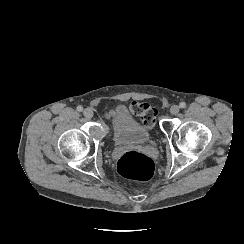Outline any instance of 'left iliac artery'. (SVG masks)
<instances>
[{"mask_svg":"<svg viewBox=\"0 0 244 244\" xmlns=\"http://www.w3.org/2000/svg\"><path fill=\"white\" fill-rule=\"evenodd\" d=\"M179 106H180V108H185V107H186V103H185V102H181V103L179 104Z\"/></svg>","mask_w":244,"mask_h":244,"instance_id":"obj_1","label":"left iliac artery"}]
</instances>
